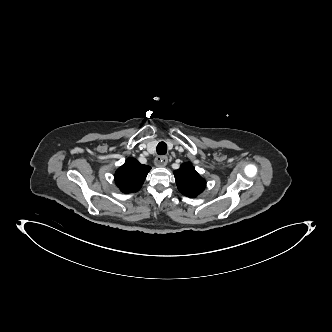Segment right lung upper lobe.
Segmentation results:
<instances>
[{
	"label": "right lung upper lobe",
	"instance_id": "cb5924a9",
	"mask_svg": "<svg viewBox=\"0 0 332 332\" xmlns=\"http://www.w3.org/2000/svg\"><path fill=\"white\" fill-rule=\"evenodd\" d=\"M151 167L140 164L134 158H128L115 172V182L123 193L137 192Z\"/></svg>",
	"mask_w": 332,
	"mask_h": 332
}]
</instances>
